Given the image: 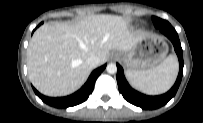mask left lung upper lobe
Segmentation results:
<instances>
[{
	"mask_svg": "<svg viewBox=\"0 0 203 123\" xmlns=\"http://www.w3.org/2000/svg\"><path fill=\"white\" fill-rule=\"evenodd\" d=\"M152 20H153V23H154L156 28L160 27V25L167 22V21L162 20V19L157 18V17H152Z\"/></svg>",
	"mask_w": 203,
	"mask_h": 123,
	"instance_id": "obj_1",
	"label": "left lung upper lobe"
}]
</instances>
